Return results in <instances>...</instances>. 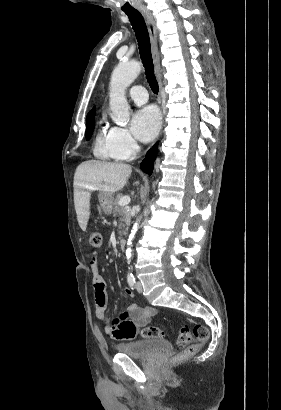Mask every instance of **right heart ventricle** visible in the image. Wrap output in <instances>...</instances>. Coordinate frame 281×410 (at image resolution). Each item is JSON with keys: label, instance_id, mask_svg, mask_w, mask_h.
<instances>
[{"label": "right heart ventricle", "instance_id": "1", "mask_svg": "<svg viewBox=\"0 0 281 410\" xmlns=\"http://www.w3.org/2000/svg\"><path fill=\"white\" fill-rule=\"evenodd\" d=\"M93 153L96 158L101 160L120 161L125 159L116 148L111 129L104 119L100 121L94 137Z\"/></svg>", "mask_w": 281, "mask_h": 410}]
</instances>
